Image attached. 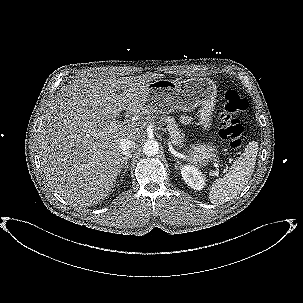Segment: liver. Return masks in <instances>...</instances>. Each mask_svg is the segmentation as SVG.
I'll return each instance as SVG.
<instances>
[{
  "label": "liver",
  "instance_id": "1",
  "mask_svg": "<svg viewBox=\"0 0 303 303\" xmlns=\"http://www.w3.org/2000/svg\"><path fill=\"white\" fill-rule=\"evenodd\" d=\"M161 77L97 73L54 95L38 131L39 156L48 184L68 204L89 207L108 196L121 171L120 140L139 139L143 126L132 122L113 131L107 126L122 110L146 114L147 85Z\"/></svg>",
  "mask_w": 303,
  "mask_h": 303
}]
</instances>
